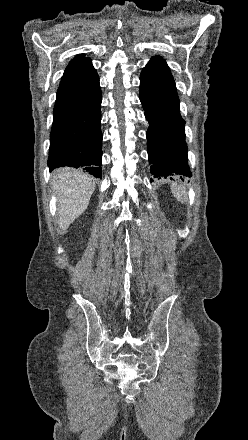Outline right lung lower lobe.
Returning a JSON list of instances; mask_svg holds the SVG:
<instances>
[{
	"mask_svg": "<svg viewBox=\"0 0 248 440\" xmlns=\"http://www.w3.org/2000/svg\"><path fill=\"white\" fill-rule=\"evenodd\" d=\"M101 89L97 78L83 88L57 93L48 166L83 168L101 178Z\"/></svg>",
	"mask_w": 248,
	"mask_h": 440,
	"instance_id": "98d812e1",
	"label": "right lung lower lobe"
}]
</instances>
